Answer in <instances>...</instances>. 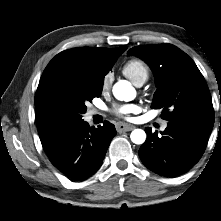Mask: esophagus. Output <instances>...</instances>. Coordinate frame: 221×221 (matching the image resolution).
I'll return each instance as SVG.
<instances>
[{"instance_id":"obj_1","label":"esophagus","mask_w":221,"mask_h":221,"mask_svg":"<svg viewBox=\"0 0 221 221\" xmlns=\"http://www.w3.org/2000/svg\"><path fill=\"white\" fill-rule=\"evenodd\" d=\"M135 128V126L133 125H128V124H124V123H117L116 124V129L118 132H126V131H131Z\"/></svg>"}]
</instances>
